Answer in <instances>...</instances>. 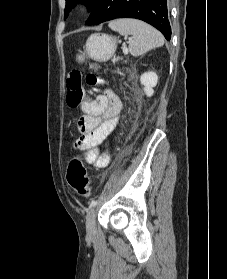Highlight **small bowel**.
Segmentation results:
<instances>
[{"mask_svg": "<svg viewBox=\"0 0 227 279\" xmlns=\"http://www.w3.org/2000/svg\"><path fill=\"white\" fill-rule=\"evenodd\" d=\"M81 108L84 115L77 124L80 134L77 145L83 149L97 147L117 125L122 101L116 92L107 88L96 99L85 101ZM85 159L97 167H104L108 165L110 157L108 152L98 156V150L94 149L88 152Z\"/></svg>", "mask_w": 227, "mask_h": 279, "instance_id": "obj_1", "label": "small bowel"}]
</instances>
